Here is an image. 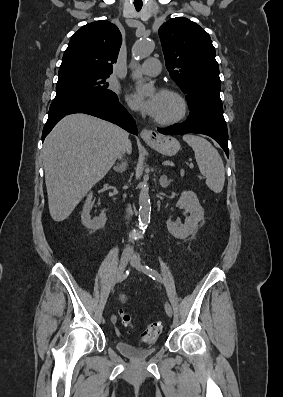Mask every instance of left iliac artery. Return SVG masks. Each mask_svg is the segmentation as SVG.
<instances>
[{"mask_svg": "<svg viewBox=\"0 0 283 397\" xmlns=\"http://www.w3.org/2000/svg\"><path fill=\"white\" fill-rule=\"evenodd\" d=\"M143 271L148 276H150L153 280H156V281H159V282H163L162 277L160 276V274L156 270L150 268L149 266H146V265L143 266Z\"/></svg>", "mask_w": 283, "mask_h": 397, "instance_id": "obj_1", "label": "left iliac artery"}]
</instances>
